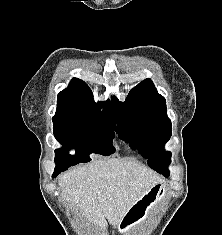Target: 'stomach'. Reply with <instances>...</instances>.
Segmentation results:
<instances>
[{"label":"stomach","instance_id":"obj_1","mask_svg":"<svg viewBox=\"0 0 222 235\" xmlns=\"http://www.w3.org/2000/svg\"><path fill=\"white\" fill-rule=\"evenodd\" d=\"M166 197V186L163 183L153 185L129 209L118 226L122 235H129L130 231L144 222Z\"/></svg>","mask_w":222,"mask_h":235}]
</instances>
